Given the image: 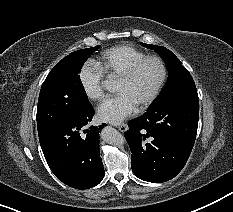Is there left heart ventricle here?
Segmentation results:
<instances>
[{
	"label": "left heart ventricle",
	"mask_w": 233,
	"mask_h": 212,
	"mask_svg": "<svg viewBox=\"0 0 233 212\" xmlns=\"http://www.w3.org/2000/svg\"><path fill=\"white\" fill-rule=\"evenodd\" d=\"M160 77V67L156 61L145 62L135 76L124 81L119 79L117 93H126L139 106L153 91Z\"/></svg>",
	"instance_id": "obj_1"
}]
</instances>
